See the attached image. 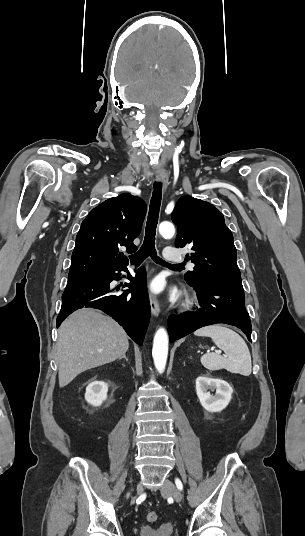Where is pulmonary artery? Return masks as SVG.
<instances>
[{
  "label": "pulmonary artery",
  "mask_w": 305,
  "mask_h": 536,
  "mask_svg": "<svg viewBox=\"0 0 305 536\" xmlns=\"http://www.w3.org/2000/svg\"><path fill=\"white\" fill-rule=\"evenodd\" d=\"M177 253H178V250L176 248L175 245L173 244H170L167 246V248H164V252L162 254V257L164 260H166L168 263L170 264H174L177 262L178 260V257H177ZM189 266L191 268L194 267V264L193 263H189Z\"/></svg>",
  "instance_id": "1"
}]
</instances>
